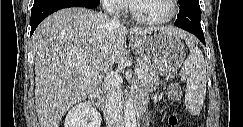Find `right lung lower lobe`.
Instances as JSON below:
<instances>
[{"label": "right lung lower lobe", "mask_w": 243, "mask_h": 127, "mask_svg": "<svg viewBox=\"0 0 243 127\" xmlns=\"http://www.w3.org/2000/svg\"><path fill=\"white\" fill-rule=\"evenodd\" d=\"M99 0H35L31 10V32L33 34L39 23L51 13L69 7L94 8Z\"/></svg>", "instance_id": "98d812e1"}]
</instances>
